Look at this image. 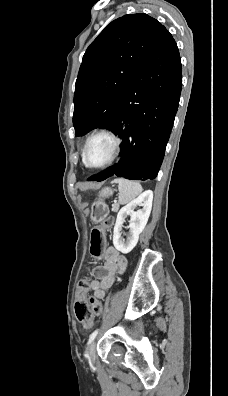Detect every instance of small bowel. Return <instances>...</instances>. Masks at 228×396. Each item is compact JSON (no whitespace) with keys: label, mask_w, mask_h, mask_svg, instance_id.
<instances>
[{"label":"small bowel","mask_w":228,"mask_h":396,"mask_svg":"<svg viewBox=\"0 0 228 396\" xmlns=\"http://www.w3.org/2000/svg\"><path fill=\"white\" fill-rule=\"evenodd\" d=\"M127 268V259L115 248L108 246L104 253V263L94 271V279L90 282L89 290L96 299L106 297L107 290L112 286L115 279Z\"/></svg>","instance_id":"small-bowel-1"}]
</instances>
